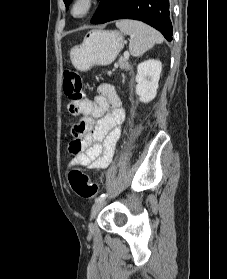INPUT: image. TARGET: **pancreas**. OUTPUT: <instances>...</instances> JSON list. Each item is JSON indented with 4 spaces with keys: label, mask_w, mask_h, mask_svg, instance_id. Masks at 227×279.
Segmentation results:
<instances>
[{
    "label": "pancreas",
    "mask_w": 227,
    "mask_h": 279,
    "mask_svg": "<svg viewBox=\"0 0 227 279\" xmlns=\"http://www.w3.org/2000/svg\"><path fill=\"white\" fill-rule=\"evenodd\" d=\"M115 67H120L121 69L125 70V71H129L131 70V65L129 64V62L126 59H120L118 61V63L115 65Z\"/></svg>",
    "instance_id": "1"
}]
</instances>
